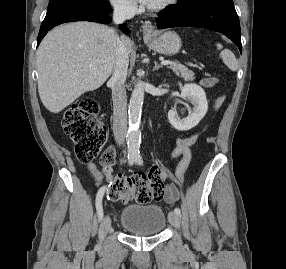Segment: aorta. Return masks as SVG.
Returning a JSON list of instances; mask_svg holds the SVG:
<instances>
[{
	"instance_id": "obj_1",
	"label": "aorta",
	"mask_w": 286,
	"mask_h": 269,
	"mask_svg": "<svg viewBox=\"0 0 286 269\" xmlns=\"http://www.w3.org/2000/svg\"><path fill=\"white\" fill-rule=\"evenodd\" d=\"M143 101L144 87L141 82H138L132 91L128 110L129 130L127 134V151L130 157L139 156V148L141 144V132L139 130V125Z\"/></svg>"
}]
</instances>
